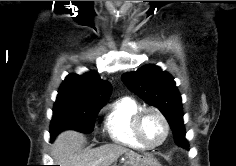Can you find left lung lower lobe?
I'll list each match as a JSON object with an SVG mask.
<instances>
[{
	"label": "left lung lower lobe",
	"instance_id": "0a47b994",
	"mask_svg": "<svg viewBox=\"0 0 236 166\" xmlns=\"http://www.w3.org/2000/svg\"><path fill=\"white\" fill-rule=\"evenodd\" d=\"M170 127L173 131L175 143L182 148L188 149V142L185 139V128L182 121L171 123Z\"/></svg>",
	"mask_w": 236,
	"mask_h": 166
}]
</instances>
